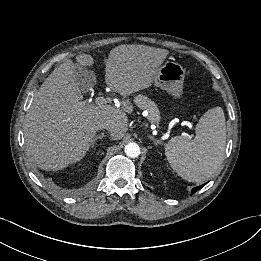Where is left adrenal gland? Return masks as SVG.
Returning a JSON list of instances; mask_svg holds the SVG:
<instances>
[{"label": "left adrenal gland", "mask_w": 261, "mask_h": 261, "mask_svg": "<svg viewBox=\"0 0 261 261\" xmlns=\"http://www.w3.org/2000/svg\"><path fill=\"white\" fill-rule=\"evenodd\" d=\"M148 138H150L155 145L162 144L161 140L156 139L154 136L148 135Z\"/></svg>", "instance_id": "a2214340"}]
</instances>
